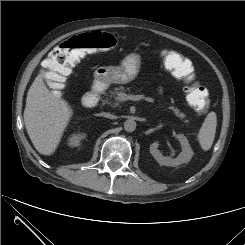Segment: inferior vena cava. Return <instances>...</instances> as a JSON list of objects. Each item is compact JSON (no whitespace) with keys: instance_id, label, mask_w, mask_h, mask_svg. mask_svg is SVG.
Here are the masks:
<instances>
[{"instance_id":"1","label":"inferior vena cava","mask_w":245,"mask_h":245,"mask_svg":"<svg viewBox=\"0 0 245 245\" xmlns=\"http://www.w3.org/2000/svg\"><path fill=\"white\" fill-rule=\"evenodd\" d=\"M102 116L106 117V118H109V119H114L115 116L110 114V113H102Z\"/></svg>"}]
</instances>
